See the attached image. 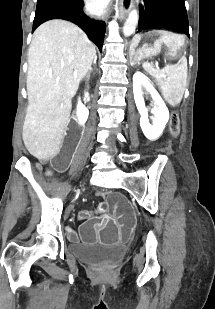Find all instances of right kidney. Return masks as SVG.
<instances>
[{"label": "right kidney", "mask_w": 215, "mask_h": 309, "mask_svg": "<svg viewBox=\"0 0 215 309\" xmlns=\"http://www.w3.org/2000/svg\"><path fill=\"white\" fill-rule=\"evenodd\" d=\"M76 114L78 116L80 124H85L88 118L89 110L88 108H86V106H84V104H82L81 100H78Z\"/></svg>", "instance_id": "ca27d5eb"}]
</instances>
